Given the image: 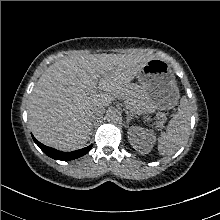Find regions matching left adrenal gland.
<instances>
[{
	"mask_svg": "<svg viewBox=\"0 0 220 220\" xmlns=\"http://www.w3.org/2000/svg\"><path fill=\"white\" fill-rule=\"evenodd\" d=\"M133 117H134L133 114H129V113L127 112V115H126V118H127L126 123H127V125H126V127H129L128 124H129V122L133 119Z\"/></svg>",
	"mask_w": 220,
	"mask_h": 220,
	"instance_id": "1",
	"label": "left adrenal gland"
}]
</instances>
